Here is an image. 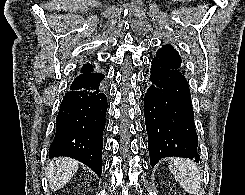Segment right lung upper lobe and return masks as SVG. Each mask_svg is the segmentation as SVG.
<instances>
[{
  "label": "right lung upper lobe",
  "instance_id": "1",
  "mask_svg": "<svg viewBox=\"0 0 245 195\" xmlns=\"http://www.w3.org/2000/svg\"><path fill=\"white\" fill-rule=\"evenodd\" d=\"M86 66H88V67H89V66H91V65H88V64H87V65H84V67H86Z\"/></svg>",
  "mask_w": 245,
  "mask_h": 195
}]
</instances>
